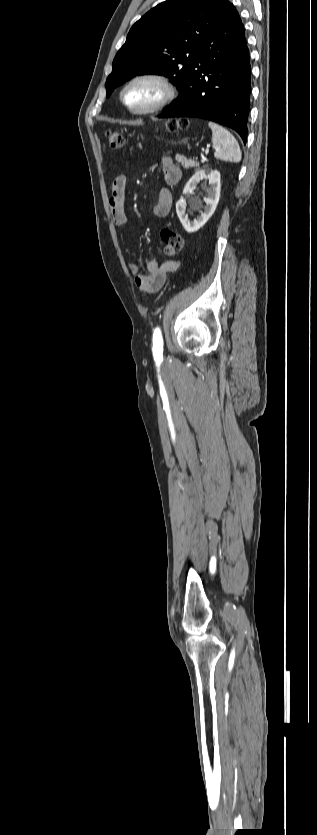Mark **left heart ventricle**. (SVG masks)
Listing matches in <instances>:
<instances>
[{"label": "left heart ventricle", "mask_w": 317, "mask_h": 835, "mask_svg": "<svg viewBox=\"0 0 317 835\" xmlns=\"http://www.w3.org/2000/svg\"><path fill=\"white\" fill-rule=\"evenodd\" d=\"M158 96V89L148 82L136 83L125 93L127 103L135 108H144L150 105Z\"/></svg>", "instance_id": "b2bd125f"}]
</instances>
